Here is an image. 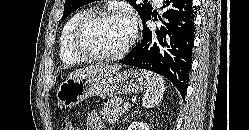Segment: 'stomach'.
<instances>
[{"label": "stomach", "mask_w": 249, "mask_h": 130, "mask_svg": "<svg viewBox=\"0 0 249 130\" xmlns=\"http://www.w3.org/2000/svg\"><path fill=\"white\" fill-rule=\"evenodd\" d=\"M147 86L145 76L137 70L114 71L111 73L68 78L62 82L56 96L65 108L76 106L92 96L133 94Z\"/></svg>", "instance_id": "obj_1"}]
</instances>
